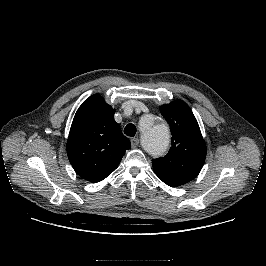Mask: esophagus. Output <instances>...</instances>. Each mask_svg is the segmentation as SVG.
<instances>
[{"label":"esophagus","instance_id":"obj_1","mask_svg":"<svg viewBox=\"0 0 266 266\" xmlns=\"http://www.w3.org/2000/svg\"><path fill=\"white\" fill-rule=\"evenodd\" d=\"M131 145L133 148H136L139 145V139L138 138H132L131 139Z\"/></svg>","mask_w":266,"mask_h":266}]
</instances>
